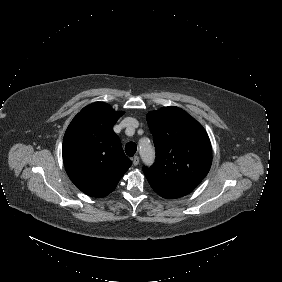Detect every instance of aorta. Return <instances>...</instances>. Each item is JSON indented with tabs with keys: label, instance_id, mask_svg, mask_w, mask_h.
Wrapping results in <instances>:
<instances>
[{
	"label": "aorta",
	"instance_id": "762f6f07",
	"mask_svg": "<svg viewBox=\"0 0 282 282\" xmlns=\"http://www.w3.org/2000/svg\"><path fill=\"white\" fill-rule=\"evenodd\" d=\"M137 150L139 152L142 163L146 167H151L156 160L155 147L147 137H142L138 141Z\"/></svg>",
	"mask_w": 282,
	"mask_h": 282
}]
</instances>
